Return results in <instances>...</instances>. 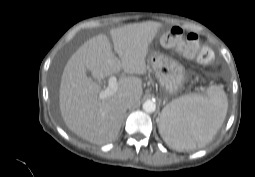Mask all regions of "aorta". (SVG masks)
<instances>
[{
	"label": "aorta",
	"instance_id": "aorta-1",
	"mask_svg": "<svg viewBox=\"0 0 255 177\" xmlns=\"http://www.w3.org/2000/svg\"><path fill=\"white\" fill-rule=\"evenodd\" d=\"M156 109V104L154 101L152 100H146L144 103H143V110L147 113H152L154 112Z\"/></svg>",
	"mask_w": 255,
	"mask_h": 177
}]
</instances>
